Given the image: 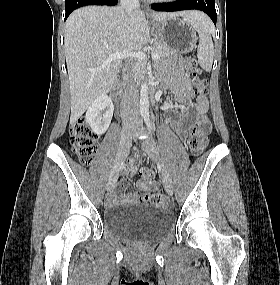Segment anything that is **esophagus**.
I'll use <instances>...</instances> for the list:
<instances>
[{
  "label": "esophagus",
  "mask_w": 280,
  "mask_h": 285,
  "mask_svg": "<svg viewBox=\"0 0 280 285\" xmlns=\"http://www.w3.org/2000/svg\"><path fill=\"white\" fill-rule=\"evenodd\" d=\"M146 11H149V8H148V7H146Z\"/></svg>",
  "instance_id": "obj_1"
}]
</instances>
